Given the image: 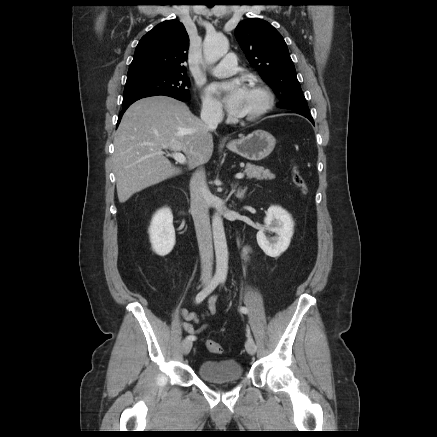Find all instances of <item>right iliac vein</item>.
I'll return each mask as SVG.
<instances>
[{
	"label": "right iliac vein",
	"instance_id": "1",
	"mask_svg": "<svg viewBox=\"0 0 437 437\" xmlns=\"http://www.w3.org/2000/svg\"><path fill=\"white\" fill-rule=\"evenodd\" d=\"M192 345H193L192 340L186 339V340L183 341V343H182V350H183V353L185 355L189 354V352L191 351Z\"/></svg>",
	"mask_w": 437,
	"mask_h": 437
}]
</instances>
